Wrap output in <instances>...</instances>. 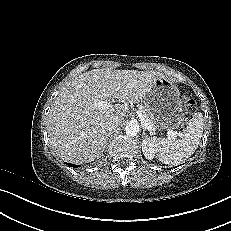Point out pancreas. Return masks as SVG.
<instances>
[{"instance_id": "cf45deb5", "label": "pancreas", "mask_w": 231, "mask_h": 231, "mask_svg": "<svg viewBox=\"0 0 231 231\" xmlns=\"http://www.w3.org/2000/svg\"><path fill=\"white\" fill-rule=\"evenodd\" d=\"M142 112H143L144 115H145V120H146V122H147L149 125L153 126V125H154V122H153V120L149 117V115L147 114V112H146L145 110H143Z\"/></svg>"}]
</instances>
